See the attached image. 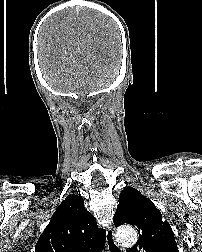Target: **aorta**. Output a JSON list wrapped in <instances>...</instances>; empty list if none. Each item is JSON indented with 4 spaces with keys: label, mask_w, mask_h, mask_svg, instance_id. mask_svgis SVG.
<instances>
[{
    "label": "aorta",
    "mask_w": 202,
    "mask_h": 252,
    "mask_svg": "<svg viewBox=\"0 0 202 252\" xmlns=\"http://www.w3.org/2000/svg\"><path fill=\"white\" fill-rule=\"evenodd\" d=\"M117 241L125 246H131L137 241V232L130 226L121 227L116 232Z\"/></svg>",
    "instance_id": "1"
}]
</instances>
